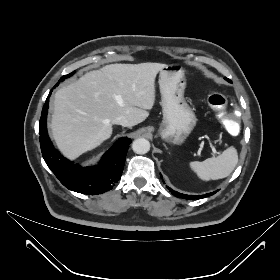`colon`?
<instances>
[{
	"mask_svg": "<svg viewBox=\"0 0 280 280\" xmlns=\"http://www.w3.org/2000/svg\"><path fill=\"white\" fill-rule=\"evenodd\" d=\"M208 105L217 113V122L227 129L232 137H237L241 133L240 123L242 121L241 109L237 105H232L226 111L227 99L224 95L211 91L207 95Z\"/></svg>",
	"mask_w": 280,
	"mask_h": 280,
	"instance_id": "obj_1",
	"label": "colon"
}]
</instances>
